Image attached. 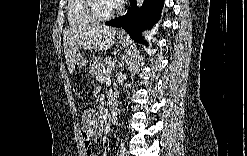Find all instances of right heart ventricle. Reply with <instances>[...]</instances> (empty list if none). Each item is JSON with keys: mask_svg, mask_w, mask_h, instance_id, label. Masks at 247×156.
<instances>
[{"mask_svg": "<svg viewBox=\"0 0 247 156\" xmlns=\"http://www.w3.org/2000/svg\"><path fill=\"white\" fill-rule=\"evenodd\" d=\"M86 0H71L67 6L68 21L72 27H83L94 23L87 14Z\"/></svg>", "mask_w": 247, "mask_h": 156, "instance_id": "1", "label": "right heart ventricle"}]
</instances>
